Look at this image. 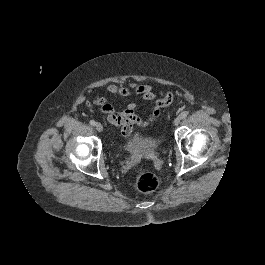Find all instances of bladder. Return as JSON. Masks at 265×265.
Instances as JSON below:
<instances>
[{"label": "bladder", "mask_w": 265, "mask_h": 265, "mask_svg": "<svg viewBox=\"0 0 265 265\" xmlns=\"http://www.w3.org/2000/svg\"><path fill=\"white\" fill-rule=\"evenodd\" d=\"M159 143L160 141L158 139H154L149 135L139 133L130 141L129 151L145 152L156 147L159 145Z\"/></svg>", "instance_id": "1"}]
</instances>
